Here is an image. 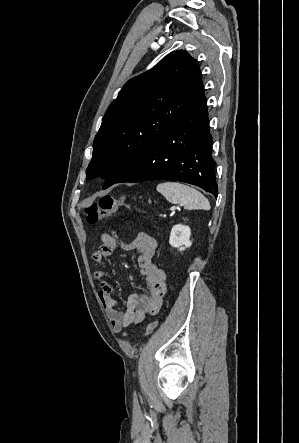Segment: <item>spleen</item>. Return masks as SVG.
<instances>
[{"instance_id":"3e777b00","label":"spleen","mask_w":299,"mask_h":443,"mask_svg":"<svg viewBox=\"0 0 299 443\" xmlns=\"http://www.w3.org/2000/svg\"><path fill=\"white\" fill-rule=\"evenodd\" d=\"M156 190L168 202L180 204L187 210H210L208 199L198 190L177 182H164L158 184Z\"/></svg>"}]
</instances>
